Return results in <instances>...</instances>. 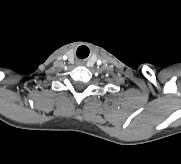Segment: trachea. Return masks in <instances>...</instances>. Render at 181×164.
Segmentation results:
<instances>
[{"label": "trachea", "mask_w": 181, "mask_h": 164, "mask_svg": "<svg viewBox=\"0 0 181 164\" xmlns=\"http://www.w3.org/2000/svg\"><path fill=\"white\" fill-rule=\"evenodd\" d=\"M79 51H86V52H89L88 48L85 47V46H81V47L78 48V50H77V55H78V52H79Z\"/></svg>", "instance_id": "obj_1"}]
</instances>
